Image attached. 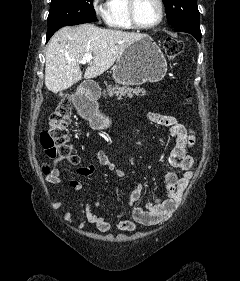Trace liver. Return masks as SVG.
Segmentation results:
<instances>
[{
	"label": "liver",
	"instance_id": "6515ba94",
	"mask_svg": "<svg viewBox=\"0 0 240 281\" xmlns=\"http://www.w3.org/2000/svg\"><path fill=\"white\" fill-rule=\"evenodd\" d=\"M145 34L101 29L93 24L66 26L50 39L45 53V85L57 93L82 78L79 60L93 53V61L84 73L91 79L107 71L123 51Z\"/></svg>",
	"mask_w": 240,
	"mask_h": 281
}]
</instances>
